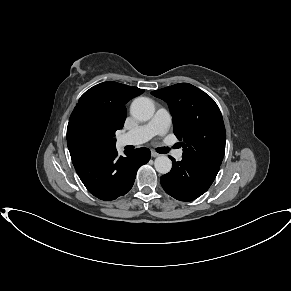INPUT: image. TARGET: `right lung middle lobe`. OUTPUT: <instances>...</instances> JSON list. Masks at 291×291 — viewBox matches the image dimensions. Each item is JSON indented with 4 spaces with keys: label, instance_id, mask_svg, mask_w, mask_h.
<instances>
[{
    "label": "right lung middle lobe",
    "instance_id": "dd1d6c3e",
    "mask_svg": "<svg viewBox=\"0 0 291 291\" xmlns=\"http://www.w3.org/2000/svg\"><path fill=\"white\" fill-rule=\"evenodd\" d=\"M67 140L89 141L104 146L99 129L96 125L87 120L74 121L68 124Z\"/></svg>",
    "mask_w": 291,
    "mask_h": 291
}]
</instances>
